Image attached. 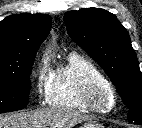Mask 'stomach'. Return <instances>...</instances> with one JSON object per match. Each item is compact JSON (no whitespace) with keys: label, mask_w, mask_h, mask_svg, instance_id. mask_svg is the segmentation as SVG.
I'll return each mask as SVG.
<instances>
[{"label":"stomach","mask_w":142,"mask_h":128,"mask_svg":"<svg viewBox=\"0 0 142 128\" xmlns=\"http://www.w3.org/2000/svg\"><path fill=\"white\" fill-rule=\"evenodd\" d=\"M80 128H104L100 123L93 120L86 121Z\"/></svg>","instance_id":"stomach-1"}]
</instances>
